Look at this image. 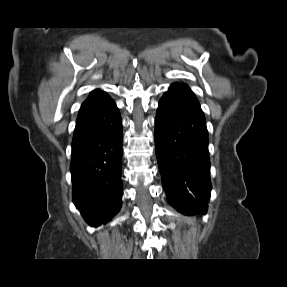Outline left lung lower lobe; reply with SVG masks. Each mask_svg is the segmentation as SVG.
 I'll return each instance as SVG.
<instances>
[{"label":"left lung lower lobe","mask_w":287,"mask_h":287,"mask_svg":"<svg viewBox=\"0 0 287 287\" xmlns=\"http://www.w3.org/2000/svg\"><path fill=\"white\" fill-rule=\"evenodd\" d=\"M155 150L169 203L183 214H205L211 192L205 116L177 84L159 101Z\"/></svg>","instance_id":"0a47b994"}]
</instances>
